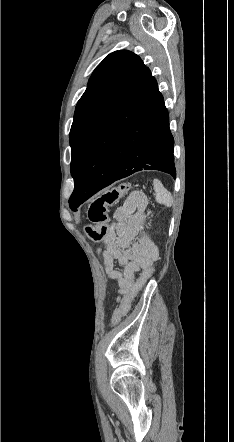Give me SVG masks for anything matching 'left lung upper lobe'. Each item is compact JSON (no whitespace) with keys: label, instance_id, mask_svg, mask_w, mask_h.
<instances>
[{"label":"left lung upper lobe","instance_id":"left-lung-upper-lobe-1","mask_svg":"<svg viewBox=\"0 0 234 442\" xmlns=\"http://www.w3.org/2000/svg\"><path fill=\"white\" fill-rule=\"evenodd\" d=\"M144 69L140 57L120 50L110 53L92 73L87 89L77 103L70 131L74 183L92 137Z\"/></svg>","mask_w":234,"mask_h":442}]
</instances>
